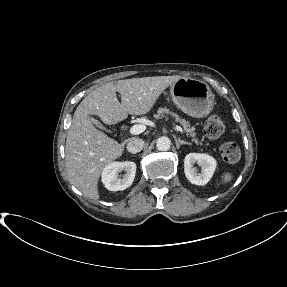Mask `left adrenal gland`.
<instances>
[{
	"instance_id": "1",
	"label": "left adrenal gland",
	"mask_w": 287,
	"mask_h": 287,
	"mask_svg": "<svg viewBox=\"0 0 287 287\" xmlns=\"http://www.w3.org/2000/svg\"><path fill=\"white\" fill-rule=\"evenodd\" d=\"M176 143H177L178 145H183V144L191 145V143H190V142H187V141L181 140L180 138L176 139Z\"/></svg>"
}]
</instances>
